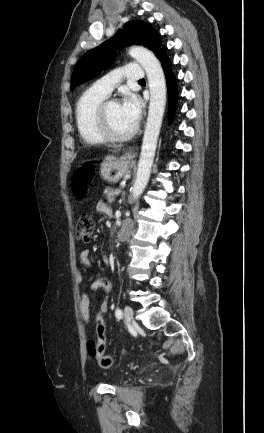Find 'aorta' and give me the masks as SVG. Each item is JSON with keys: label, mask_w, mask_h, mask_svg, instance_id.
Instances as JSON below:
<instances>
[{"label": "aorta", "mask_w": 264, "mask_h": 433, "mask_svg": "<svg viewBox=\"0 0 264 433\" xmlns=\"http://www.w3.org/2000/svg\"><path fill=\"white\" fill-rule=\"evenodd\" d=\"M129 54L144 68L150 89L147 123L142 141L137 175L132 187V197L133 199H137L143 193L150 178L165 110L167 89L161 64L152 52L143 47L134 46L130 48Z\"/></svg>", "instance_id": "aorta-1"}]
</instances>
